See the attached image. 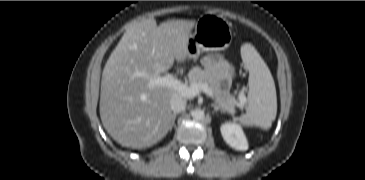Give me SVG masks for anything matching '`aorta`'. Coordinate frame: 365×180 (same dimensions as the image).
<instances>
[{
  "label": "aorta",
  "instance_id": "762f6f07",
  "mask_svg": "<svg viewBox=\"0 0 365 180\" xmlns=\"http://www.w3.org/2000/svg\"><path fill=\"white\" fill-rule=\"evenodd\" d=\"M191 115H192L193 119L198 120V121L203 120L205 118V113L201 109L193 110Z\"/></svg>",
  "mask_w": 365,
  "mask_h": 180
}]
</instances>
